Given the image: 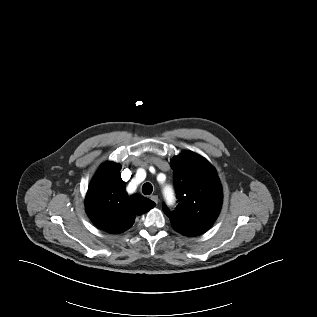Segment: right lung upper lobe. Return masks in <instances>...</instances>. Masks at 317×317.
Masks as SVG:
<instances>
[{
	"instance_id": "obj_1",
	"label": "right lung upper lobe",
	"mask_w": 317,
	"mask_h": 317,
	"mask_svg": "<svg viewBox=\"0 0 317 317\" xmlns=\"http://www.w3.org/2000/svg\"><path fill=\"white\" fill-rule=\"evenodd\" d=\"M120 166L104 163L93 177L86 196V212L100 229L122 233L135 222L137 215L148 212L155 203L139 194L128 197L126 183L121 179Z\"/></svg>"
}]
</instances>
